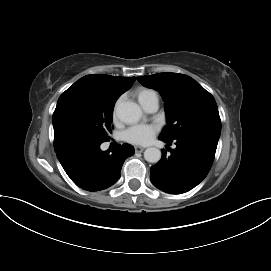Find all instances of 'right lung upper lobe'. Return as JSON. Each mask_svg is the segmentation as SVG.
<instances>
[{"label": "right lung upper lobe", "instance_id": "1", "mask_svg": "<svg viewBox=\"0 0 271 271\" xmlns=\"http://www.w3.org/2000/svg\"><path fill=\"white\" fill-rule=\"evenodd\" d=\"M135 81V77H114L104 74L87 75L69 89L80 88L92 96L117 100ZM60 154H57V156Z\"/></svg>", "mask_w": 271, "mask_h": 271}]
</instances>
